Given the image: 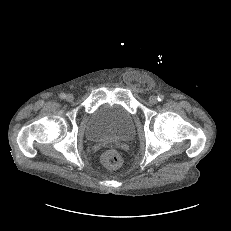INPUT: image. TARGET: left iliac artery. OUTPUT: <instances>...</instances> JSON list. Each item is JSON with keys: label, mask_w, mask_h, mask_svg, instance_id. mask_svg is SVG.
<instances>
[{"label": "left iliac artery", "mask_w": 231, "mask_h": 231, "mask_svg": "<svg viewBox=\"0 0 231 231\" xmlns=\"http://www.w3.org/2000/svg\"><path fill=\"white\" fill-rule=\"evenodd\" d=\"M157 99H158V101H160V102H161V101H163V100H164V96H163V95H159Z\"/></svg>", "instance_id": "1"}]
</instances>
